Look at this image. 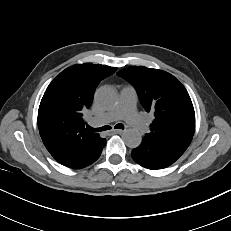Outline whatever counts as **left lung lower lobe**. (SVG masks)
I'll return each instance as SVG.
<instances>
[{"label": "left lung lower lobe", "instance_id": "left-lung-lower-lobe-1", "mask_svg": "<svg viewBox=\"0 0 231 231\" xmlns=\"http://www.w3.org/2000/svg\"><path fill=\"white\" fill-rule=\"evenodd\" d=\"M183 153L170 143L143 138L141 144L132 150L131 156L142 167L157 170L172 165Z\"/></svg>", "mask_w": 231, "mask_h": 231}]
</instances>
